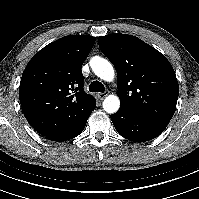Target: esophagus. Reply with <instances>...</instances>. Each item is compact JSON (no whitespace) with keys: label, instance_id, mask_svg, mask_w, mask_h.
I'll return each mask as SVG.
<instances>
[{"label":"esophagus","instance_id":"34e87169","mask_svg":"<svg viewBox=\"0 0 199 199\" xmlns=\"http://www.w3.org/2000/svg\"><path fill=\"white\" fill-rule=\"evenodd\" d=\"M110 91H105L104 93H98L97 96L99 99H104L107 95H109Z\"/></svg>","mask_w":199,"mask_h":199}]
</instances>
